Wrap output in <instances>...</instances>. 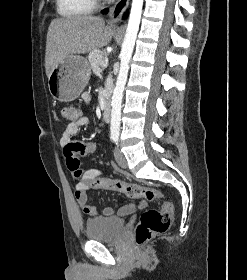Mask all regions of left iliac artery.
Masks as SVG:
<instances>
[{"label":"left iliac artery","instance_id":"obj_1","mask_svg":"<svg viewBox=\"0 0 247 280\" xmlns=\"http://www.w3.org/2000/svg\"><path fill=\"white\" fill-rule=\"evenodd\" d=\"M113 140L116 144L118 143V137L113 138Z\"/></svg>","mask_w":247,"mask_h":280}]
</instances>
